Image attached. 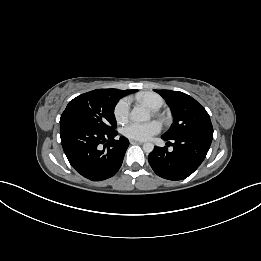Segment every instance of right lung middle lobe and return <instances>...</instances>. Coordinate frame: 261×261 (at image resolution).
<instances>
[{
    "label": "right lung middle lobe",
    "instance_id": "obj_1",
    "mask_svg": "<svg viewBox=\"0 0 261 261\" xmlns=\"http://www.w3.org/2000/svg\"><path fill=\"white\" fill-rule=\"evenodd\" d=\"M120 98L114 89L81 94L68 103L60 124L86 126L101 132L113 131L117 126L113 112Z\"/></svg>",
    "mask_w": 261,
    "mask_h": 261
}]
</instances>
